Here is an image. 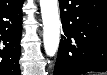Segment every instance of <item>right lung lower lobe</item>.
<instances>
[{
  "label": "right lung lower lobe",
  "instance_id": "1",
  "mask_svg": "<svg viewBox=\"0 0 107 75\" xmlns=\"http://www.w3.org/2000/svg\"><path fill=\"white\" fill-rule=\"evenodd\" d=\"M23 0H0V75H20Z\"/></svg>",
  "mask_w": 107,
  "mask_h": 75
}]
</instances>
